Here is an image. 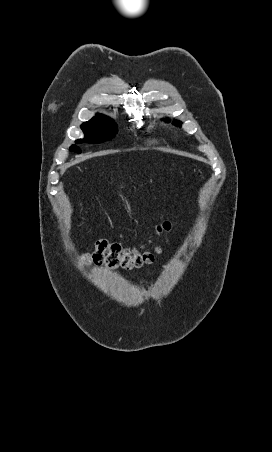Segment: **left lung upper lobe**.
I'll return each instance as SVG.
<instances>
[{"label":"left lung upper lobe","mask_w":272,"mask_h":452,"mask_svg":"<svg viewBox=\"0 0 272 452\" xmlns=\"http://www.w3.org/2000/svg\"><path fill=\"white\" fill-rule=\"evenodd\" d=\"M167 122H169V120H167ZM175 125H177V126H180L181 125V122H179V121H174L173 122Z\"/></svg>","instance_id":"left-lung-upper-lobe-1"}]
</instances>
